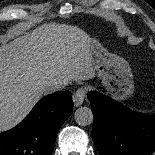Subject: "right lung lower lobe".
<instances>
[{
  "label": "right lung lower lobe",
  "mask_w": 155,
  "mask_h": 155,
  "mask_svg": "<svg viewBox=\"0 0 155 155\" xmlns=\"http://www.w3.org/2000/svg\"><path fill=\"white\" fill-rule=\"evenodd\" d=\"M72 111L68 90L42 98L19 125L0 133V155H51L58 130Z\"/></svg>",
  "instance_id": "98d812e1"
}]
</instances>
